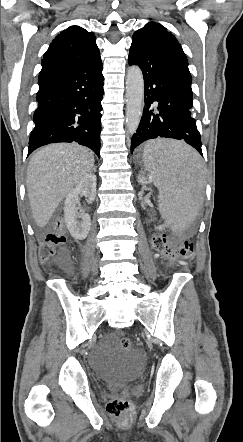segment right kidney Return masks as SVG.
I'll use <instances>...</instances> for the list:
<instances>
[{
  "label": "right kidney",
  "mask_w": 243,
  "mask_h": 442,
  "mask_svg": "<svg viewBox=\"0 0 243 442\" xmlns=\"http://www.w3.org/2000/svg\"><path fill=\"white\" fill-rule=\"evenodd\" d=\"M83 194L88 202L95 200L96 176L88 174L82 178L76 187L67 194L64 204V217L71 236L76 240H83L88 236L91 218L83 210H79V195Z\"/></svg>",
  "instance_id": "right-kidney-1"
}]
</instances>
